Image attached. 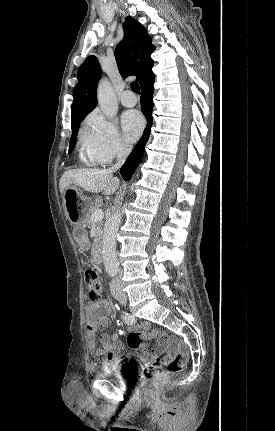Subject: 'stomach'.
<instances>
[{"mask_svg":"<svg viewBox=\"0 0 275 431\" xmlns=\"http://www.w3.org/2000/svg\"><path fill=\"white\" fill-rule=\"evenodd\" d=\"M62 199L64 211L70 223L74 226L84 224L92 205L91 199L76 186L67 187Z\"/></svg>","mask_w":275,"mask_h":431,"instance_id":"1","label":"stomach"}]
</instances>
